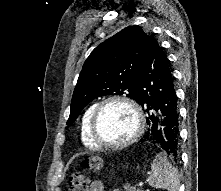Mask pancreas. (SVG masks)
Returning <instances> with one entry per match:
<instances>
[{
  "instance_id": "cf45deb5",
  "label": "pancreas",
  "mask_w": 221,
  "mask_h": 191,
  "mask_svg": "<svg viewBox=\"0 0 221 191\" xmlns=\"http://www.w3.org/2000/svg\"><path fill=\"white\" fill-rule=\"evenodd\" d=\"M125 191H142L141 189H136L133 186H130L129 184H125L124 186Z\"/></svg>"
}]
</instances>
